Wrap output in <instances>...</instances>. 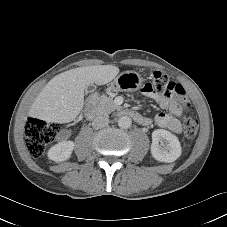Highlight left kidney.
I'll return each mask as SVG.
<instances>
[{
    "label": "left kidney",
    "mask_w": 227,
    "mask_h": 227,
    "mask_svg": "<svg viewBox=\"0 0 227 227\" xmlns=\"http://www.w3.org/2000/svg\"><path fill=\"white\" fill-rule=\"evenodd\" d=\"M151 154L157 161L174 162L181 156V145L177 136L164 129L154 130L152 133Z\"/></svg>",
    "instance_id": "1"
}]
</instances>
